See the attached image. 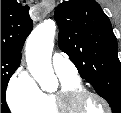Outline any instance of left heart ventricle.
I'll return each instance as SVG.
<instances>
[{
    "mask_svg": "<svg viewBox=\"0 0 121 113\" xmlns=\"http://www.w3.org/2000/svg\"><path fill=\"white\" fill-rule=\"evenodd\" d=\"M81 109L90 113H105V107L103 104L98 99L93 97L85 98Z\"/></svg>",
    "mask_w": 121,
    "mask_h": 113,
    "instance_id": "b2bd125f",
    "label": "left heart ventricle"
}]
</instances>
